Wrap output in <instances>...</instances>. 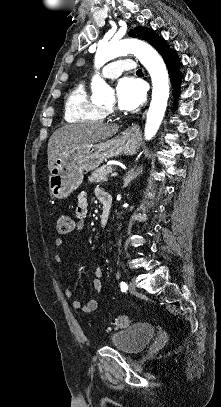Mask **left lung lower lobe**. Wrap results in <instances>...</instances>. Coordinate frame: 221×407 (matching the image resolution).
I'll use <instances>...</instances> for the list:
<instances>
[{"label": "left lung lower lobe", "instance_id": "left-lung-lower-lobe-1", "mask_svg": "<svg viewBox=\"0 0 221 407\" xmlns=\"http://www.w3.org/2000/svg\"><path fill=\"white\" fill-rule=\"evenodd\" d=\"M155 49L161 54L165 61L168 68L169 77L173 85V93L176 95V97H178L180 94L179 89L183 76L179 70L181 63L178 60L176 51L171 48L162 38H159L156 42Z\"/></svg>", "mask_w": 221, "mask_h": 407}]
</instances>
